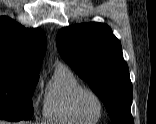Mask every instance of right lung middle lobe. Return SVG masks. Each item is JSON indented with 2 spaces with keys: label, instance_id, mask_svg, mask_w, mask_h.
<instances>
[{
  "label": "right lung middle lobe",
  "instance_id": "obj_1",
  "mask_svg": "<svg viewBox=\"0 0 156 124\" xmlns=\"http://www.w3.org/2000/svg\"><path fill=\"white\" fill-rule=\"evenodd\" d=\"M38 79L39 73L0 68V119L32 117V95Z\"/></svg>",
  "mask_w": 156,
  "mask_h": 124
}]
</instances>
